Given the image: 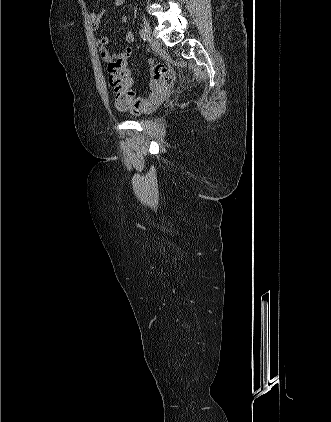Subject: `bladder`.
<instances>
[{"label": "bladder", "instance_id": "1", "mask_svg": "<svg viewBox=\"0 0 331 422\" xmlns=\"http://www.w3.org/2000/svg\"><path fill=\"white\" fill-rule=\"evenodd\" d=\"M155 109L156 108H154V109H152L150 111H147V112L142 113L141 115H139V116L136 117V120H138V121L145 120L147 118V116L151 115L154 112Z\"/></svg>", "mask_w": 331, "mask_h": 422}]
</instances>
